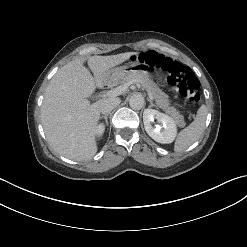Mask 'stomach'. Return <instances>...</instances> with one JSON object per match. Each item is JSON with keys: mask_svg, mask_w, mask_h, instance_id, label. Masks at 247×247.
I'll list each match as a JSON object with an SVG mask.
<instances>
[{"mask_svg": "<svg viewBox=\"0 0 247 247\" xmlns=\"http://www.w3.org/2000/svg\"><path fill=\"white\" fill-rule=\"evenodd\" d=\"M153 73V66L148 61H135L130 66L124 65L110 70L107 74L109 83H119L128 74L135 78H148Z\"/></svg>", "mask_w": 247, "mask_h": 247, "instance_id": "obj_1", "label": "stomach"}]
</instances>
